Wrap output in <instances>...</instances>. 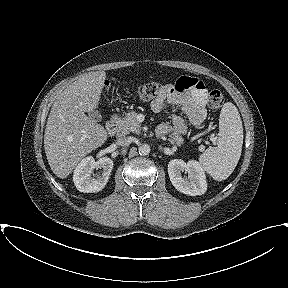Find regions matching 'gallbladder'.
Here are the masks:
<instances>
[{
  "label": "gallbladder",
  "mask_w": 288,
  "mask_h": 288,
  "mask_svg": "<svg viewBox=\"0 0 288 288\" xmlns=\"http://www.w3.org/2000/svg\"><path fill=\"white\" fill-rule=\"evenodd\" d=\"M88 115L91 119H93L96 122H100L102 120V116L97 110L90 111Z\"/></svg>",
  "instance_id": "bac80fb5"
}]
</instances>
